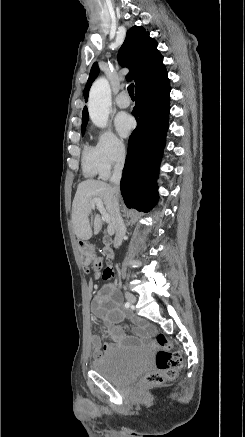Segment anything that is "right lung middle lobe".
<instances>
[{"mask_svg": "<svg viewBox=\"0 0 245 437\" xmlns=\"http://www.w3.org/2000/svg\"><path fill=\"white\" fill-rule=\"evenodd\" d=\"M85 127H86V126H82V136H83V134H84Z\"/></svg>", "mask_w": 245, "mask_h": 437, "instance_id": "1", "label": "right lung middle lobe"}]
</instances>
